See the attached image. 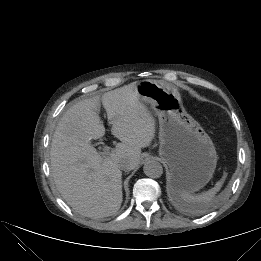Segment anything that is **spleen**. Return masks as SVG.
<instances>
[{"instance_id": "1", "label": "spleen", "mask_w": 261, "mask_h": 261, "mask_svg": "<svg viewBox=\"0 0 261 261\" xmlns=\"http://www.w3.org/2000/svg\"><path fill=\"white\" fill-rule=\"evenodd\" d=\"M224 180L225 176H223L222 179L218 181L213 188L201 194L193 195L189 193H182L179 195H173L174 199L179 204L187 208L190 212L197 213L205 204L213 199L215 194L221 189Z\"/></svg>"}]
</instances>
